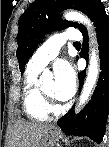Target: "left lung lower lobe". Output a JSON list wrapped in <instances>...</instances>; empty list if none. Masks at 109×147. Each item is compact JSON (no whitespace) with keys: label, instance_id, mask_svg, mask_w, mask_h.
<instances>
[{"label":"left lung lower lobe","instance_id":"left-lung-lower-lobe-1","mask_svg":"<svg viewBox=\"0 0 109 147\" xmlns=\"http://www.w3.org/2000/svg\"><path fill=\"white\" fill-rule=\"evenodd\" d=\"M96 27L99 43L101 73L94 94L85 108L74 117L73 108L57 122L67 135L88 136L96 143H100L105 133L109 115V17L104 5L97 6L91 15ZM83 34L84 45L88 46L86 28L80 30ZM87 50L82 57L87 59ZM85 78V71L79 74V89L81 90Z\"/></svg>","mask_w":109,"mask_h":147}]
</instances>
